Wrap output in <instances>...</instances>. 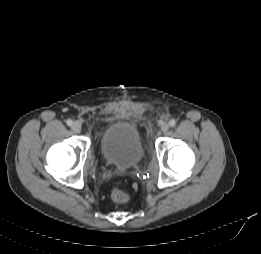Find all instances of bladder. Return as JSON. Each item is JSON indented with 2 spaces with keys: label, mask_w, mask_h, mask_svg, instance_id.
I'll return each mask as SVG.
<instances>
[{
  "label": "bladder",
  "mask_w": 261,
  "mask_h": 254,
  "mask_svg": "<svg viewBox=\"0 0 261 254\" xmlns=\"http://www.w3.org/2000/svg\"><path fill=\"white\" fill-rule=\"evenodd\" d=\"M100 149L104 160L120 170L133 168L144 155L138 129L127 122L110 125L101 136Z\"/></svg>",
  "instance_id": "bladder-1"
}]
</instances>
